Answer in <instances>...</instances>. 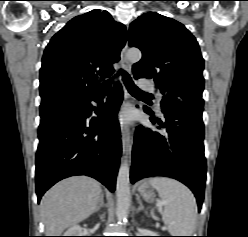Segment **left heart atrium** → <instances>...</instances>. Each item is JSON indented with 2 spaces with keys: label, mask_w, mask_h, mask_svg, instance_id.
<instances>
[{
  "label": "left heart atrium",
  "mask_w": 248,
  "mask_h": 237,
  "mask_svg": "<svg viewBox=\"0 0 248 237\" xmlns=\"http://www.w3.org/2000/svg\"><path fill=\"white\" fill-rule=\"evenodd\" d=\"M131 121L130 113L127 110H123L118 115V122L120 125L125 126Z\"/></svg>",
  "instance_id": "39dd6f15"
}]
</instances>
